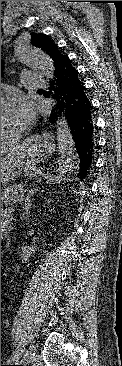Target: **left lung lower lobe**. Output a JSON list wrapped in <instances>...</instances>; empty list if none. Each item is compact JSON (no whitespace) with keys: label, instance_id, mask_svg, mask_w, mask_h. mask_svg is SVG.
Returning a JSON list of instances; mask_svg holds the SVG:
<instances>
[{"label":"left lung lower lobe","instance_id":"left-lung-lower-lobe-1","mask_svg":"<svg viewBox=\"0 0 122 366\" xmlns=\"http://www.w3.org/2000/svg\"><path fill=\"white\" fill-rule=\"evenodd\" d=\"M50 90L44 94L57 100L56 108L64 112L69 123L77 154L79 156L78 177L85 179L88 175L95 149L92 105L78 71L72 66L68 56H64L54 70V81ZM57 119L56 114L50 116L51 121Z\"/></svg>","mask_w":122,"mask_h":366}]
</instances>
